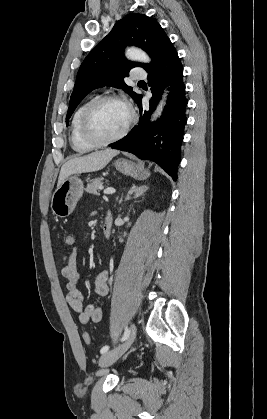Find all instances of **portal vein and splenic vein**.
I'll use <instances>...</instances> for the list:
<instances>
[{
    "label": "portal vein and splenic vein",
    "instance_id": "portal-vein-and-splenic-vein-1",
    "mask_svg": "<svg viewBox=\"0 0 267 419\" xmlns=\"http://www.w3.org/2000/svg\"><path fill=\"white\" fill-rule=\"evenodd\" d=\"M103 193L105 195L114 194L115 193V189L114 188H107V189L103 190Z\"/></svg>",
    "mask_w": 267,
    "mask_h": 419
}]
</instances>
